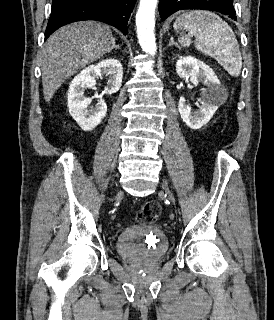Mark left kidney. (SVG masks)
Here are the masks:
<instances>
[{"label":"left kidney","instance_id":"5707ae66","mask_svg":"<svg viewBox=\"0 0 274 320\" xmlns=\"http://www.w3.org/2000/svg\"><path fill=\"white\" fill-rule=\"evenodd\" d=\"M176 72L179 78H190L192 84H199L202 82L206 86L205 90L201 92V98L199 100L201 106H199L198 112H192L191 106L187 104L185 98H180L178 104L179 114L191 128V130H200L202 126L208 124L213 114L218 110L219 106H222L226 100V90L224 86H221L215 72L212 68L187 56V58H180L176 62Z\"/></svg>","mask_w":274,"mask_h":320}]
</instances>
